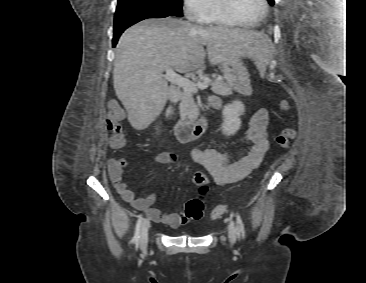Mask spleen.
Returning a JSON list of instances; mask_svg holds the SVG:
<instances>
[{
    "mask_svg": "<svg viewBox=\"0 0 366 283\" xmlns=\"http://www.w3.org/2000/svg\"><path fill=\"white\" fill-rule=\"evenodd\" d=\"M258 67H259L260 70L262 69L260 65H258Z\"/></svg>",
    "mask_w": 366,
    "mask_h": 283,
    "instance_id": "1",
    "label": "spleen"
}]
</instances>
